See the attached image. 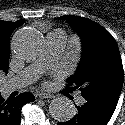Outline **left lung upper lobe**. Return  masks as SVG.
<instances>
[{"label":"left lung upper lobe","mask_w":125,"mask_h":125,"mask_svg":"<svg viewBox=\"0 0 125 125\" xmlns=\"http://www.w3.org/2000/svg\"><path fill=\"white\" fill-rule=\"evenodd\" d=\"M61 18L67 20L79 33L83 44L78 69L66 80L69 85L63 92L70 93L79 89L86 101H118L124 72L115 39L106 29L90 19L73 15Z\"/></svg>","instance_id":"5c2ea615"}]
</instances>
